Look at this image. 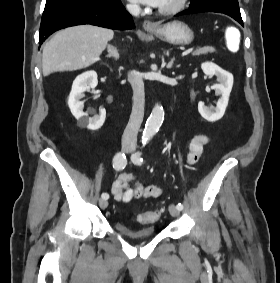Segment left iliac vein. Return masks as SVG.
<instances>
[{
    "mask_svg": "<svg viewBox=\"0 0 280 283\" xmlns=\"http://www.w3.org/2000/svg\"><path fill=\"white\" fill-rule=\"evenodd\" d=\"M169 213L173 217H178L180 215V210L173 204L169 205Z\"/></svg>",
    "mask_w": 280,
    "mask_h": 283,
    "instance_id": "obj_1",
    "label": "left iliac vein"
}]
</instances>
